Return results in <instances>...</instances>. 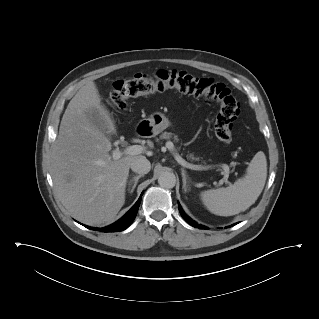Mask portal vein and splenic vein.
I'll list each match as a JSON object with an SVG mask.
<instances>
[{"mask_svg": "<svg viewBox=\"0 0 319 319\" xmlns=\"http://www.w3.org/2000/svg\"><path fill=\"white\" fill-rule=\"evenodd\" d=\"M166 147L168 148V150L174 155L175 160L181 164L183 167L185 168H189L192 170H207L209 168V166H201V165H193L188 163L187 161H185L175 150L174 144L172 142H167L166 143ZM145 151V148L141 145H132V146H128L127 148L124 149V151H120L119 149H115L113 150L112 156L113 159L117 160L119 158H121L123 155H138L141 154ZM222 168L225 172L224 174V181H227L228 179V174H229V166L226 164L222 165Z\"/></svg>", "mask_w": 319, "mask_h": 319, "instance_id": "portal-vein-and-splenic-vein-1", "label": "portal vein and splenic vein"}]
</instances>
